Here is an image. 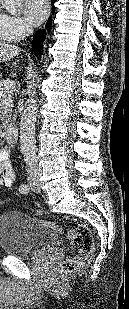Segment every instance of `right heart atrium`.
<instances>
[{"mask_svg": "<svg viewBox=\"0 0 129 309\" xmlns=\"http://www.w3.org/2000/svg\"><path fill=\"white\" fill-rule=\"evenodd\" d=\"M2 25L12 41H19L31 33L28 23L18 15L2 14Z\"/></svg>", "mask_w": 129, "mask_h": 309, "instance_id": "d8ad5b80", "label": "right heart atrium"}]
</instances>
